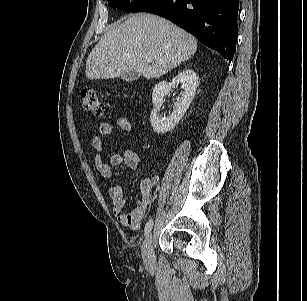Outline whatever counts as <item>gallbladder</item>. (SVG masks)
<instances>
[{"label": "gallbladder", "instance_id": "gallbladder-1", "mask_svg": "<svg viewBox=\"0 0 307 301\" xmlns=\"http://www.w3.org/2000/svg\"><path fill=\"white\" fill-rule=\"evenodd\" d=\"M139 76H140V74H138L137 72L130 71V72H126V73L122 74L121 78L124 81L131 82L133 80H136Z\"/></svg>", "mask_w": 307, "mask_h": 301}]
</instances>
